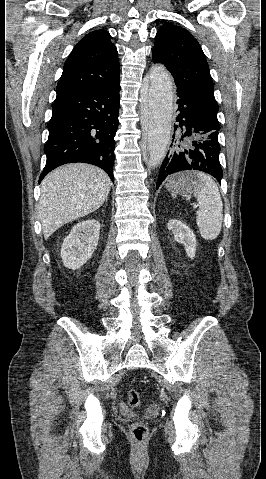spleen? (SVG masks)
I'll list each match as a JSON object with an SVG mask.
<instances>
[{"mask_svg": "<svg viewBox=\"0 0 266 479\" xmlns=\"http://www.w3.org/2000/svg\"><path fill=\"white\" fill-rule=\"evenodd\" d=\"M201 187L195 191L199 210L196 222L200 235L204 240L216 239L222 228L223 204L217 184L205 173H198Z\"/></svg>", "mask_w": 266, "mask_h": 479, "instance_id": "obj_1", "label": "spleen"}]
</instances>
